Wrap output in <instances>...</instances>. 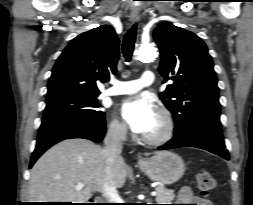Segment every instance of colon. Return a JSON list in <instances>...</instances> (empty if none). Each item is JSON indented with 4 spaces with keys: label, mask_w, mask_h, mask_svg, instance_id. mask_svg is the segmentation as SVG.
Instances as JSON below:
<instances>
[{
    "label": "colon",
    "mask_w": 253,
    "mask_h": 205,
    "mask_svg": "<svg viewBox=\"0 0 253 205\" xmlns=\"http://www.w3.org/2000/svg\"><path fill=\"white\" fill-rule=\"evenodd\" d=\"M197 184L200 192L206 196L216 187V180L208 169L202 168L197 173Z\"/></svg>",
    "instance_id": "5ec220e1"
}]
</instances>
